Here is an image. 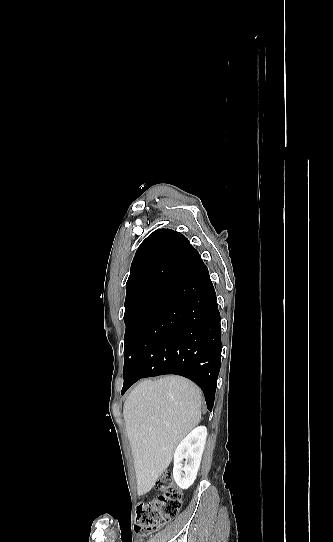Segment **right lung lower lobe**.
I'll return each instance as SVG.
<instances>
[{
    "label": "right lung lower lobe",
    "mask_w": 333,
    "mask_h": 542,
    "mask_svg": "<svg viewBox=\"0 0 333 542\" xmlns=\"http://www.w3.org/2000/svg\"><path fill=\"white\" fill-rule=\"evenodd\" d=\"M164 261L188 275L150 314L124 368V394L136 381L163 374L184 376L204 392L211 411L221 364L220 313L207 267L198 253L169 249Z\"/></svg>",
    "instance_id": "right-lung-lower-lobe-1"
}]
</instances>
